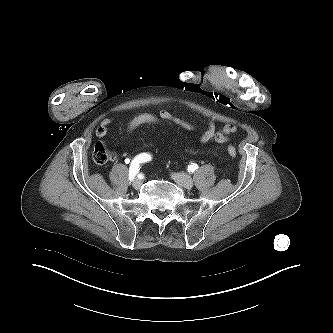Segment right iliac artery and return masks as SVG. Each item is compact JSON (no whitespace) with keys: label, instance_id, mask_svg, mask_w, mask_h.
<instances>
[{"label":"right iliac artery","instance_id":"right-iliac-artery-1","mask_svg":"<svg viewBox=\"0 0 333 333\" xmlns=\"http://www.w3.org/2000/svg\"><path fill=\"white\" fill-rule=\"evenodd\" d=\"M152 159L151 155L148 153H141L137 155L131 162L130 168H129V180L133 181L135 176L140 170V164L150 161Z\"/></svg>","mask_w":333,"mask_h":333}]
</instances>
